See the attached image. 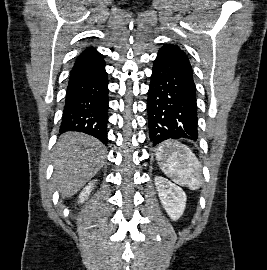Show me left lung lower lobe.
I'll return each instance as SVG.
<instances>
[{
  "mask_svg": "<svg viewBox=\"0 0 267 270\" xmlns=\"http://www.w3.org/2000/svg\"><path fill=\"white\" fill-rule=\"evenodd\" d=\"M195 92L187 55L176 45H164L154 61L148 91V125L153 146L171 139H198Z\"/></svg>",
  "mask_w": 267,
  "mask_h": 270,
  "instance_id": "0a47b994",
  "label": "left lung lower lobe"
}]
</instances>
